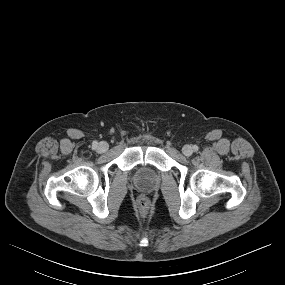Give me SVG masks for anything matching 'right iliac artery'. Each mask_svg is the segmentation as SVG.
I'll return each instance as SVG.
<instances>
[{"label": "right iliac artery", "instance_id": "1", "mask_svg": "<svg viewBox=\"0 0 285 285\" xmlns=\"http://www.w3.org/2000/svg\"><path fill=\"white\" fill-rule=\"evenodd\" d=\"M97 145H98L97 141H94V142L92 143V147H93L94 149L97 147Z\"/></svg>", "mask_w": 285, "mask_h": 285}]
</instances>
